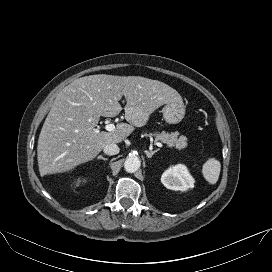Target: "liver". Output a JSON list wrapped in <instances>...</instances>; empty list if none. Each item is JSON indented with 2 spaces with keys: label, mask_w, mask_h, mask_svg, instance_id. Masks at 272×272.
I'll return each mask as SVG.
<instances>
[{
  "label": "liver",
  "mask_w": 272,
  "mask_h": 272,
  "mask_svg": "<svg viewBox=\"0 0 272 272\" xmlns=\"http://www.w3.org/2000/svg\"><path fill=\"white\" fill-rule=\"evenodd\" d=\"M124 107L127 123L112 132L99 131L101 116L115 117ZM182 101L179 93L158 80L141 76L89 75L74 80L55 98L41 129L37 159L41 176L62 173L95 158L109 143H121L142 127L160 106Z\"/></svg>",
  "instance_id": "obj_1"
}]
</instances>
